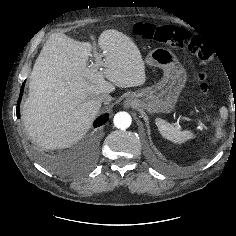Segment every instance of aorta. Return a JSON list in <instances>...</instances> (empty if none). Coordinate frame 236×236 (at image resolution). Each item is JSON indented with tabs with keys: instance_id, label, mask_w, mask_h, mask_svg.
<instances>
[{
	"instance_id": "obj_1",
	"label": "aorta",
	"mask_w": 236,
	"mask_h": 236,
	"mask_svg": "<svg viewBox=\"0 0 236 236\" xmlns=\"http://www.w3.org/2000/svg\"><path fill=\"white\" fill-rule=\"evenodd\" d=\"M114 125L118 129L124 130L127 129L132 122L131 116L127 112H118L114 116Z\"/></svg>"
}]
</instances>
